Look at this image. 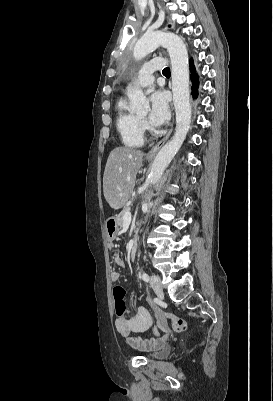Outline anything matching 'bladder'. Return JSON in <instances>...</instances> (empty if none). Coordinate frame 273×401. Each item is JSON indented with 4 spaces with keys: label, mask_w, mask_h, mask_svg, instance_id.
<instances>
[{
    "label": "bladder",
    "mask_w": 273,
    "mask_h": 401,
    "mask_svg": "<svg viewBox=\"0 0 273 401\" xmlns=\"http://www.w3.org/2000/svg\"><path fill=\"white\" fill-rule=\"evenodd\" d=\"M171 353V348L169 346H162L152 352L148 357L152 359H163L169 356Z\"/></svg>",
    "instance_id": "31cf9c89"
}]
</instances>
